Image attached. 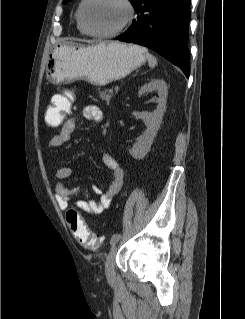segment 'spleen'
<instances>
[{
    "label": "spleen",
    "instance_id": "3e777b00",
    "mask_svg": "<svg viewBox=\"0 0 245 319\" xmlns=\"http://www.w3.org/2000/svg\"><path fill=\"white\" fill-rule=\"evenodd\" d=\"M146 55H147V60H148L149 67L150 68H154L157 65V59L153 55H151L149 53H147Z\"/></svg>",
    "mask_w": 245,
    "mask_h": 319
}]
</instances>
